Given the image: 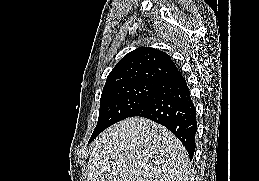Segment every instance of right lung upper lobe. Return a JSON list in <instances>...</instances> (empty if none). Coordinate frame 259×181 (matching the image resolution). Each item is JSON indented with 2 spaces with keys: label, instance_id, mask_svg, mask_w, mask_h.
<instances>
[{
  "label": "right lung upper lobe",
  "instance_id": "1",
  "mask_svg": "<svg viewBox=\"0 0 259 181\" xmlns=\"http://www.w3.org/2000/svg\"><path fill=\"white\" fill-rule=\"evenodd\" d=\"M177 70L170 56L150 47L137 48L125 55L107 77L103 90L138 84H159Z\"/></svg>",
  "mask_w": 259,
  "mask_h": 181
}]
</instances>
